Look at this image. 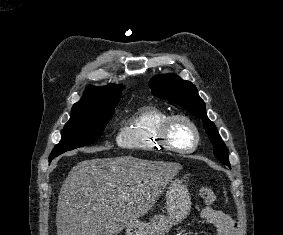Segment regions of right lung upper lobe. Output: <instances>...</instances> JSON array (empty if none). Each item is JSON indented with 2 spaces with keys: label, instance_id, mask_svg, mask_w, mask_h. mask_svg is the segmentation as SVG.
Instances as JSON below:
<instances>
[{
  "label": "right lung upper lobe",
  "instance_id": "right-lung-upper-lobe-1",
  "mask_svg": "<svg viewBox=\"0 0 283 235\" xmlns=\"http://www.w3.org/2000/svg\"><path fill=\"white\" fill-rule=\"evenodd\" d=\"M121 86L109 84L106 87L87 86L84 96L74 105H92L118 103L121 95Z\"/></svg>",
  "mask_w": 283,
  "mask_h": 235
}]
</instances>
